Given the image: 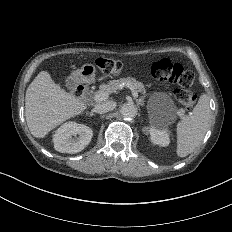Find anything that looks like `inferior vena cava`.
<instances>
[{
	"mask_svg": "<svg viewBox=\"0 0 232 232\" xmlns=\"http://www.w3.org/2000/svg\"><path fill=\"white\" fill-rule=\"evenodd\" d=\"M115 107H116V103L114 101H107V102L97 104L95 106V111L97 113H107L113 110Z\"/></svg>",
	"mask_w": 232,
	"mask_h": 232,
	"instance_id": "1",
	"label": "inferior vena cava"
}]
</instances>
